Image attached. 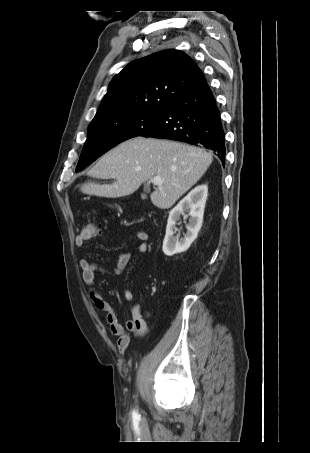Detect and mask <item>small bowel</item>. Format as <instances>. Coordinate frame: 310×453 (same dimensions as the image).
I'll return each instance as SVG.
<instances>
[{
	"instance_id": "obj_1",
	"label": "small bowel",
	"mask_w": 310,
	"mask_h": 453,
	"mask_svg": "<svg viewBox=\"0 0 310 453\" xmlns=\"http://www.w3.org/2000/svg\"><path fill=\"white\" fill-rule=\"evenodd\" d=\"M136 238L140 241L138 246V252L145 253L148 250V234L143 230L136 231ZM89 238H85L82 233L76 236L75 245L77 247H83ZM130 259L128 253H122L119 255L116 267L113 270V275H119L123 272ZM81 269V277L84 284L89 288V296L94 306L101 312L105 313L106 322L109 326L110 332L117 336V348L120 353H124L130 343L129 332L137 334H144L147 330V322L142 315L141 308L138 305H134L131 309L132 318L128 320L125 325H121L115 312L113 311L110 304L96 291L95 289V275L97 271H104L99 268L95 263L89 259L83 258L79 262ZM124 299L127 302H131L134 298L133 293L130 289L126 288L123 291Z\"/></svg>"
}]
</instances>
